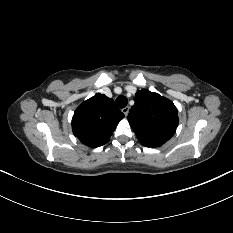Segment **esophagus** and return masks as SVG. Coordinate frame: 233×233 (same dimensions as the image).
<instances>
[{
	"mask_svg": "<svg viewBox=\"0 0 233 233\" xmlns=\"http://www.w3.org/2000/svg\"><path fill=\"white\" fill-rule=\"evenodd\" d=\"M129 110H130V108H129L128 106H126V107H124V108L122 109V112L124 113L125 116H127L128 113H129Z\"/></svg>",
	"mask_w": 233,
	"mask_h": 233,
	"instance_id": "34e87169",
	"label": "esophagus"
}]
</instances>
